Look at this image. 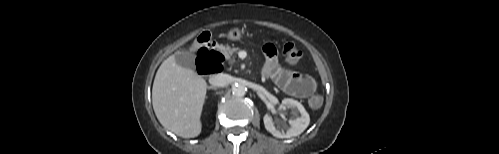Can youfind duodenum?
Here are the masks:
<instances>
[{"instance_id":"obj_1","label":"duodenum","mask_w":499,"mask_h":154,"mask_svg":"<svg viewBox=\"0 0 499 154\" xmlns=\"http://www.w3.org/2000/svg\"><path fill=\"white\" fill-rule=\"evenodd\" d=\"M211 58L206 57V56H201L197 59V70L201 74H215L218 73L216 70H214L212 67L207 65V62H209Z\"/></svg>"}]
</instances>
